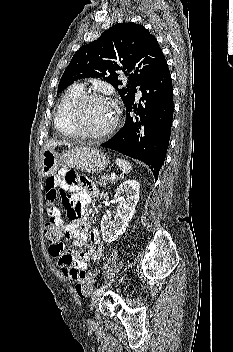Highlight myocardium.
Here are the masks:
<instances>
[{
    "label": "myocardium",
    "mask_w": 233,
    "mask_h": 352,
    "mask_svg": "<svg viewBox=\"0 0 233 352\" xmlns=\"http://www.w3.org/2000/svg\"><path fill=\"white\" fill-rule=\"evenodd\" d=\"M96 99L109 102L113 107L114 117L111 124L106 129L99 132H87L82 130L78 124L79 111L84 103H86L89 100H96ZM119 117H120V112L118 107L115 104L111 103L106 97L95 92H85L81 94L72 104L68 115V122L71 130L73 131L76 137L84 138V139H101V138L107 137L116 129L119 122Z\"/></svg>",
    "instance_id": "f54148a6"
}]
</instances>
